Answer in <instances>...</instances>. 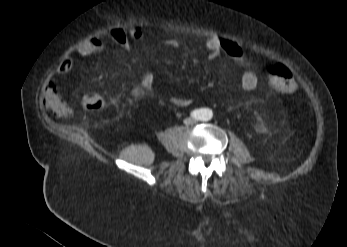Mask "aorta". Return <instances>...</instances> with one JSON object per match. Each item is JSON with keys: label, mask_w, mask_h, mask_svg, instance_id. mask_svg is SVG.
<instances>
[{"label": "aorta", "mask_w": 347, "mask_h": 247, "mask_svg": "<svg viewBox=\"0 0 347 247\" xmlns=\"http://www.w3.org/2000/svg\"><path fill=\"white\" fill-rule=\"evenodd\" d=\"M211 117H212V113L210 111H206L205 113H203V116H202L204 120H209L211 119Z\"/></svg>", "instance_id": "aorta-1"}]
</instances>
